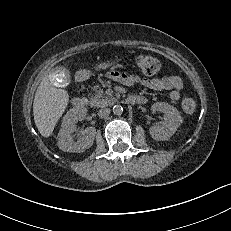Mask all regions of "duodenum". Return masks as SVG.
I'll use <instances>...</instances> for the list:
<instances>
[{
    "label": "duodenum",
    "mask_w": 231,
    "mask_h": 231,
    "mask_svg": "<svg viewBox=\"0 0 231 231\" xmlns=\"http://www.w3.org/2000/svg\"><path fill=\"white\" fill-rule=\"evenodd\" d=\"M145 98L142 96H130L126 99L129 104H143L145 103ZM72 104L75 108H84L87 105V99L83 96H76L72 99Z\"/></svg>",
    "instance_id": "duodenum-1"
}]
</instances>
